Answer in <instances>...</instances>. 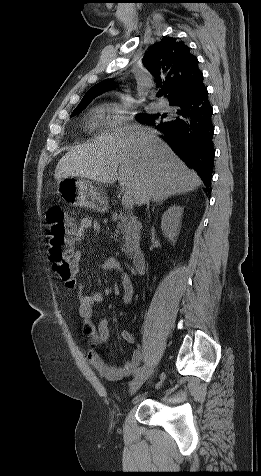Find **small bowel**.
<instances>
[{"label": "small bowel", "instance_id": "small-bowel-1", "mask_svg": "<svg viewBox=\"0 0 261 476\" xmlns=\"http://www.w3.org/2000/svg\"><path fill=\"white\" fill-rule=\"evenodd\" d=\"M92 230L99 234L100 224L97 220L85 217L81 220L76 229L75 240L83 241L87 232ZM83 253L76 250L72 253L71 262L75 268L79 266L82 261ZM100 267L104 270H117L121 273V285L123 289V303L126 306L131 305L134 298V288L129 275L123 270L120 262L114 257H108ZM79 291V316L82 319L84 332L90 342L94 345L108 344L110 341V331L108 321L106 318H101L97 323L94 322L93 316L95 308L102 303L103 296L100 293L84 294L82 286L78 285ZM121 337L125 342L134 343L135 338L132 333L127 330L121 332ZM88 360L91 366L103 377L108 380H120L124 377L130 376L139 368L142 360V350L139 346L134 348L131 358L122 366H111L106 364L96 350H90L88 353Z\"/></svg>", "mask_w": 261, "mask_h": 476}]
</instances>
